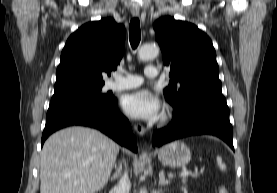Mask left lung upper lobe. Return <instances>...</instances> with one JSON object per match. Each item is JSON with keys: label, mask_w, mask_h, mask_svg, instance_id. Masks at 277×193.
Here are the masks:
<instances>
[{"label": "left lung upper lobe", "mask_w": 277, "mask_h": 193, "mask_svg": "<svg viewBox=\"0 0 277 193\" xmlns=\"http://www.w3.org/2000/svg\"><path fill=\"white\" fill-rule=\"evenodd\" d=\"M163 63L170 65L173 79L164 89L175 110L200 92L221 91L216 52L210 38L194 24L162 17L154 23Z\"/></svg>", "instance_id": "left-lung-upper-lobe-1"}]
</instances>
